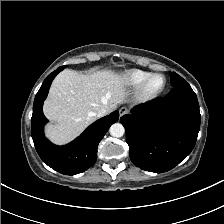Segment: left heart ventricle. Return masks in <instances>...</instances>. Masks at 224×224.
Wrapping results in <instances>:
<instances>
[{"label": "left heart ventricle", "mask_w": 224, "mask_h": 224, "mask_svg": "<svg viewBox=\"0 0 224 224\" xmlns=\"http://www.w3.org/2000/svg\"><path fill=\"white\" fill-rule=\"evenodd\" d=\"M164 85V78L161 75L154 76L150 79L147 85V90L149 92H156L160 90Z\"/></svg>", "instance_id": "1"}]
</instances>
